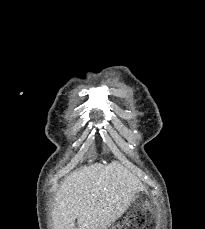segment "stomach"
I'll list each match as a JSON object with an SVG mask.
<instances>
[{
	"mask_svg": "<svg viewBox=\"0 0 205 229\" xmlns=\"http://www.w3.org/2000/svg\"><path fill=\"white\" fill-rule=\"evenodd\" d=\"M159 214L155 203L147 198L134 200L108 229H158Z\"/></svg>",
	"mask_w": 205,
	"mask_h": 229,
	"instance_id": "stomach-1",
	"label": "stomach"
}]
</instances>
